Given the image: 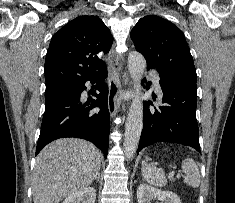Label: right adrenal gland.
Returning <instances> with one entry per match:
<instances>
[{
	"mask_svg": "<svg viewBox=\"0 0 235 203\" xmlns=\"http://www.w3.org/2000/svg\"><path fill=\"white\" fill-rule=\"evenodd\" d=\"M95 180H96L97 182L100 181V173L97 175V177L95 178Z\"/></svg>",
	"mask_w": 235,
	"mask_h": 203,
	"instance_id": "obj_1",
	"label": "right adrenal gland"
}]
</instances>
